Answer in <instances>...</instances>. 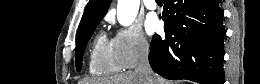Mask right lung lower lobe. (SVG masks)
<instances>
[{
    "instance_id": "obj_1",
    "label": "right lung lower lobe",
    "mask_w": 260,
    "mask_h": 84,
    "mask_svg": "<svg viewBox=\"0 0 260 84\" xmlns=\"http://www.w3.org/2000/svg\"><path fill=\"white\" fill-rule=\"evenodd\" d=\"M165 38L155 34L149 63L166 79L224 83L223 12L218 0H164Z\"/></svg>"
}]
</instances>
